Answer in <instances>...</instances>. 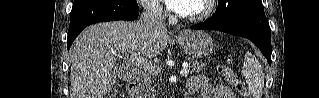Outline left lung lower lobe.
Returning a JSON list of instances; mask_svg holds the SVG:
<instances>
[{
  "mask_svg": "<svg viewBox=\"0 0 319 98\" xmlns=\"http://www.w3.org/2000/svg\"><path fill=\"white\" fill-rule=\"evenodd\" d=\"M196 30H218L251 40L271 65V30L264 10H255L235 20L219 24L199 23Z\"/></svg>",
  "mask_w": 319,
  "mask_h": 98,
  "instance_id": "left-lung-lower-lobe-1",
  "label": "left lung lower lobe"
}]
</instances>
